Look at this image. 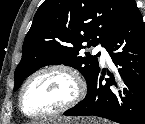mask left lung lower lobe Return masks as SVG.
Returning <instances> with one entry per match:
<instances>
[{"label": "left lung lower lobe", "mask_w": 145, "mask_h": 124, "mask_svg": "<svg viewBox=\"0 0 145 124\" xmlns=\"http://www.w3.org/2000/svg\"><path fill=\"white\" fill-rule=\"evenodd\" d=\"M113 63L120 65V74L127 85L118 101L110 89L113 79L104 80L98 72L84 100L67 110L65 116L94 115L120 124H144L145 118V27L135 4L131 13L106 46ZM118 51V52H115Z\"/></svg>", "instance_id": "left-lung-lower-lobe-1"}]
</instances>
